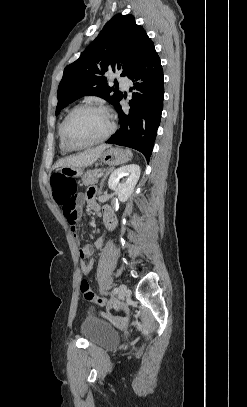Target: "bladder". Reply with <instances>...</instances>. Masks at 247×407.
Returning a JSON list of instances; mask_svg holds the SVG:
<instances>
[{"mask_svg": "<svg viewBox=\"0 0 247 407\" xmlns=\"http://www.w3.org/2000/svg\"><path fill=\"white\" fill-rule=\"evenodd\" d=\"M81 333L90 344L111 349L119 344L118 332L108 324L99 321L92 313L88 314L81 326Z\"/></svg>", "mask_w": 247, "mask_h": 407, "instance_id": "31cf9c89", "label": "bladder"}]
</instances>
